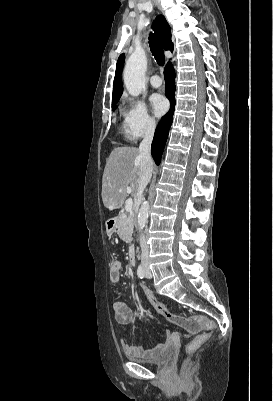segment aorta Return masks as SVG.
I'll return each mask as SVG.
<instances>
[{
    "label": "aorta",
    "instance_id": "762f6f07",
    "mask_svg": "<svg viewBox=\"0 0 273 401\" xmlns=\"http://www.w3.org/2000/svg\"><path fill=\"white\" fill-rule=\"evenodd\" d=\"M146 68L147 58L145 51L142 48H136L128 58L123 73L125 87L132 96L140 95L145 88ZM149 207V202L144 201L139 209L137 217L139 230H143L146 225Z\"/></svg>",
    "mask_w": 273,
    "mask_h": 401
}]
</instances>
